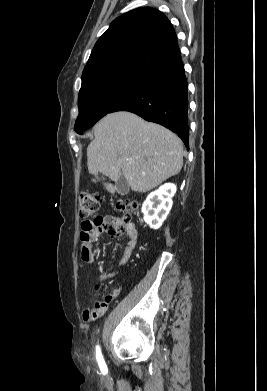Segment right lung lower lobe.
Segmentation results:
<instances>
[{
	"label": "right lung lower lobe",
	"instance_id": "1",
	"mask_svg": "<svg viewBox=\"0 0 267 391\" xmlns=\"http://www.w3.org/2000/svg\"><path fill=\"white\" fill-rule=\"evenodd\" d=\"M188 85L181 57L149 73L145 82L114 106L175 132L189 147Z\"/></svg>",
	"mask_w": 267,
	"mask_h": 391
}]
</instances>
